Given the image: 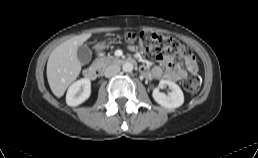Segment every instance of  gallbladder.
<instances>
[{
    "mask_svg": "<svg viewBox=\"0 0 258 158\" xmlns=\"http://www.w3.org/2000/svg\"><path fill=\"white\" fill-rule=\"evenodd\" d=\"M77 57L81 64H88L91 61L92 52L87 45H80L77 50Z\"/></svg>",
    "mask_w": 258,
    "mask_h": 158,
    "instance_id": "obj_1",
    "label": "gallbladder"
}]
</instances>
